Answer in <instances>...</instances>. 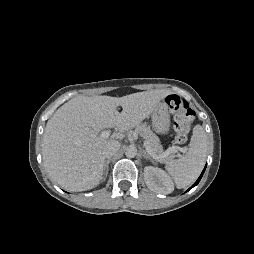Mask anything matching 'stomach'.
I'll use <instances>...</instances> for the list:
<instances>
[{
  "mask_svg": "<svg viewBox=\"0 0 254 254\" xmlns=\"http://www.w3.org/2000/svg\"><path fill=\"white\" fill-rule=\"evenodd\" d=\"M154 130L160 134H166L170 128V114L166 103H159L151 114Z\"/></svg>",
  "mask_w": 254,
  "mask_h": 254,
  "instance_id": "stomach-1",
  "label": "stomach"
}]
</instances>
